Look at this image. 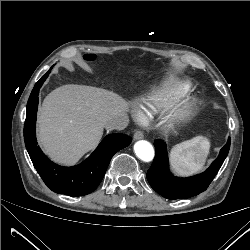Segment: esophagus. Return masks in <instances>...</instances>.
Returning <instances> with one entry per match:
<instances>
[{
    "label": "esophagus",
    "instance_id": "esophagus-1",
    "mask_svg": "<svg viewBox=\"0 0 250 250\" xmlns=\"http://www.w3.org/2000/svg\"><path fill=\"white\" fill-rule=\"evenodd\" d=\"M143 137H144L143 132L140 130H137L133 135L134 140H140Z\"/></svg>",
    "mask_w": 250,
    "mask_h": 250
}]
</instances>
